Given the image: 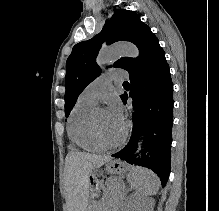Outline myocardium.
<instances>
[{
  "mask_svg": "<svg viewBox=\"0 0 219 211\" xmlns=\"http://www.w3.org/2000/svg\"><path fill=\"white\" fill-rule=\"evenodd\" d=\"M103 108L105 107L102 105H98L92 109L91 114H90V119H89L91 132L93 136L96 138V140L100 142L101 144H103L104 146L117 147L125 142L127 135H128V127L124 128L123 133L116 140H110L107 137H105L101 133L98 127V124H97V113L100 109H103Z\"/></svg>",
  "mask_w": 219,
  "mask_h": 211,
  "instance_id": "1",
  "label": "myocardium"
}]
</instances>
